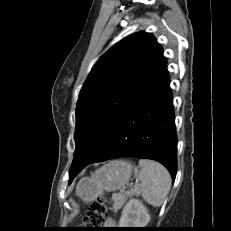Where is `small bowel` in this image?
Listing matches in <instances>:
<instances>
[{
    "label": "small bowel",
    "instance_id": "c3829d8e",
    "mask_svg": "<svg viewBox=\"0 0 231 231\" xmlns=\"http://www.w3.org/2000/svg\"><path fill=\"white\" fill-rule=\"evenodd\" d=\"M114 224H115V221L112 218H108L104 224L105 231H108V229L112 228Z\"/></svg>",
    "mask_w": 231,
    "mask_h": 231
}]
</instances>
